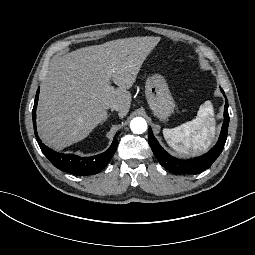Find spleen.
<instances>
[{
    "label": "spleen",
    "instance_id": "spleen-1",
    "mask_svg": "<svg viewBox=\"0 0 255 255\" xmlns=\"http://www.w3.org/2000/svg\"><path fill=\"white\" fill-rule=\"evenodd\" d=\"M168 143L178 152L192 150L198 153L208 146L210 135L214 134L213 109L210 102L200 106L195 120L185 122L175 128H164Z\"/></svg>",
    "mask_w": 255,
    "mask_h": 255
}]
</instances>
